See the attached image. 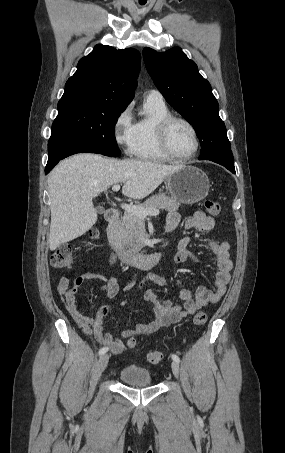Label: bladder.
I'll return each instance as SVG.
<instances>
[{"instance_id": "bladder-1", "label": "bladder", "mask_w": 285, "mask_h": 453, "mask_svg": "<svg viewBox=\"0 0 285 453\" xmlns=\"http://www.w3.org/2000/svg\"><path fill=\"white\" fill-rule=\"evenodd\" d=\"M119 378L123 383L135 387H145L152 384L150 371L136 364L124 366L119 372Z\"/></svg>"}]
</instances>
